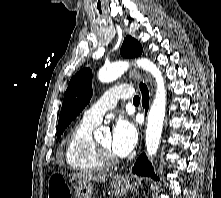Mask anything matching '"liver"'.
Returning <instances> with one entry per match:
<instances>
[{
    "instance_id": "liver-1",
    "label": "liver",
    "mask_w": 221,
    "mask_h": 198,
    "mask_svg": "<svg viewBox=\"0 0 221 198\" xmlns=\"http://www.w3.org/2000/svg\"><path fill=\"white\" fill-rule=\"evenodd\" d=\"M70 176L73 179H78V180H83L85 182H105L107 180V178L105 176H101L99 174H93V173H89V172H79V173H72L70 174Z\"/></svg>"
}]
</instances>
